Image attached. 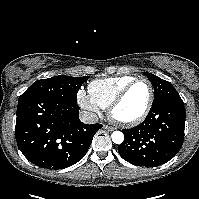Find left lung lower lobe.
Instances as JSON below:
<instances>
[{
	"instance_id": "left-lung-lower-lobe-1",
	"label": "left lung lower lobe",
	"mask_w": 199,
	"mask_h": 199,
	"mask_svg": "<svg viewBox=\"0 0 199 199\" xmlns=\"http://www.w3.org/2000/svg\"><path fill=\"white\" fill-rule=\"evenodd\" d=\"M185 108L180 96L164 99L152 107L145 120L124 129L118 147L120 156L131 164L156 167L172 159L184 140Z\"/></svg>"
}]
</instances>
